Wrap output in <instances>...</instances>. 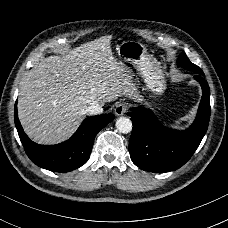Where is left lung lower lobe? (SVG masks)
Returning <instances> with one entry per match:
<instances>
[{"label":"left lung lower lobe","mask_w":228,"mask_h":228,"mask_svg":"<svg viewBox=\"0 0 228 228\" xmlns=\"http://www.w3.org/2000/svg\"><path fill=\"white\" fill-rule=\"evenodd\" d=\"M202 87V99L193 124L186 130H172L163 126L146 108H132L133 129L129 153L133 163L145 171L163 173L183 166L202 141L210 119V89L201 75H196Z\"/></svg>","instance_id":"1"}]
</instances>
